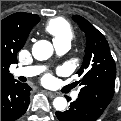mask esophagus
<instances>
[{"mask_svg": "<svg viewBox=\"0 0 121 121\" xmlns=\"http://www.w3.org/2000/svg\"><path fill=\"white\" fill-rule=\"evenodd\" d=\"M45 93L50 96V97H56L58 94L57 93H53V92H50V91H45Z\"/></svg>", "mask_w": 121, "mask_h": 121, "instance_id": "obj_1", "label": "esophagus"}]
</instances>
